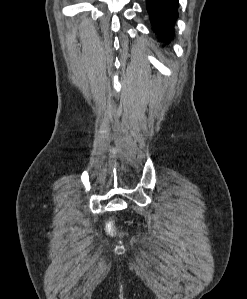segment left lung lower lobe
I'll use <instances>...</instances> for the list:
<instances>
[{"instance_id":"left-lung-lower-lobe-1","label":"left lung lower lobe","mask_w":247,"mask_h":299,"mask_svg":"<svg viewBox=\"0 0 247 299\" xmlns=\"http://www.w3.org/2000/svg\"><path fill=\"white\" fill-rule=\"evenodd\" d=\"M153 29L160 40L173 37V26L178 17V0H146Z\"/></svg>"}]
</instances>
